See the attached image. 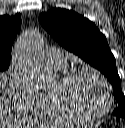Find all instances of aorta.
Here are the masks:
<instances>
[{"instance_id": "762f6f07", "label": "aorta", "mask_w": 125, "mask_h": 128, "mask_svg": "<svg viewBox=\"0 0 125 128\" xmlns=\"http://www.w3.org/2000/svg\"><path fill=\"white\" fill-rule=\"evenodd\" d=\"M41 42L38 31L25 32L15 44L14 60L38 87L46 88L51 85L52 78L42 59Z\"/></svg>"}]
</instances>
